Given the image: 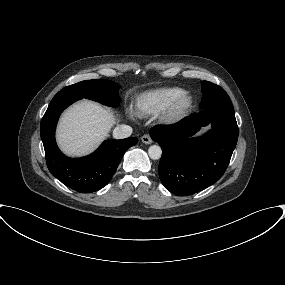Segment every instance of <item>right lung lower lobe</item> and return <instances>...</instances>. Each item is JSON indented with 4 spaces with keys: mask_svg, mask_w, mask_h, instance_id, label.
<instances>
[{
    "mask_svg": "<svg viewBox=\"0 0 285 285\" xmlns=\"http://www.w3.org/2000/svg\"><path fill=\"white\" fill-rule=\"evenodd\" d=\"M78 100L71 94L57 93L46 110L40 125L46 163L51 174L69 188L91 193L108 184L125 151L137 144V138L105 141L94 153L82 158H69L55 142V128L61 112Z\"/></svg>",
    "mask_w": 285,
    "mask_h": 285,
    "instance_id": "obj_1",
    "label": "right lung lower lobe"
}]
</instances>
